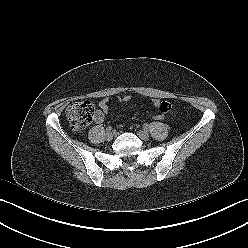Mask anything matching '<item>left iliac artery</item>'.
<instances>
[{"label": "left iliac artery", "mask_w": 248, "mask_h": 248, "mask_svg": "<svg viewBox=\"0 0 248 248\" xmlns=\"http://www.w3.org/2000/svg\"><path fill=\"white\" fill-rule=\"evenodd\" d=\"M144 129H145V130H148V129H149V125H148V124H145V125H144Z\"/></svg>", "instance_id": "left-iliac-artery-1"}]
</instances>
